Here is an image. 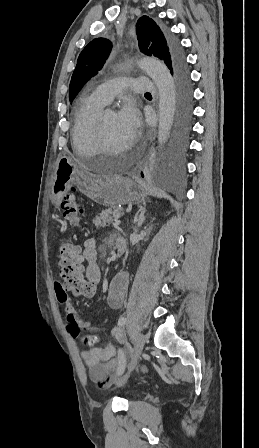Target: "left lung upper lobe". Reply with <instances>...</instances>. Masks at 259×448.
Here are the masks:
<instances>
[{"instance_id": "1", "label": "left lung upper lobe", "mask_w": 259, "mask_h": 448, "mask_svg": "<svg viewBox=\"0 0 259 448\" xmlns=\"http://www.w3.org/2000/svg\"><path fill=\"white\" fill-rule=\"evenodd\" d=\"M136 27L140 50L148 56L163 60L167 67L171 66L177 53L174 41L170 38L167 40L159 26L148 16L139 18ZM111 47L109 40L97 38L82 50L70 82V101H73L82 86L102 69Z\"/></svg>"}]
</instances>
